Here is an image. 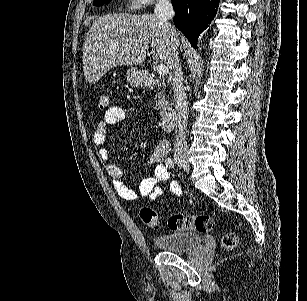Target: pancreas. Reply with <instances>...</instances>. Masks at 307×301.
<instances>
[{
    "label": "pancreas",
    "mask_w": 307,
    "mask_h": 301,
    "mask_svg": "<svg viewBox=\"0 0 307 301\" xmlns=\"http://www.w3.org/2000/svg\"><path fill=\"white\" fill-rule=\"evenodd\" d=\"M155 98L154 106H157V108H163V106L168 104L166 90H162V88H159V92L155 94Z\"/></svg>",
    "instance_id": "obj_1"
}]
</instances>
